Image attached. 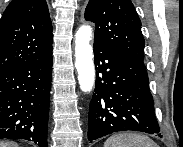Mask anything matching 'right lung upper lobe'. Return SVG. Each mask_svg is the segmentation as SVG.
<instances>
[{"label": "right lung upper lobe", "instance_id": "cb5924a9", "mask_svg": "<svg viewBox=\"0 0 183 147\" xmlns=\"http://www.w3.org/2000/svg\"><path fill=\"white\" fill-rule=\"evenodd\" d=\"M52 23L45 0H13L0 20V72L52 51Z\"/></svg>", "mask_w": 183, "mask_h": 147}]
</instances>
